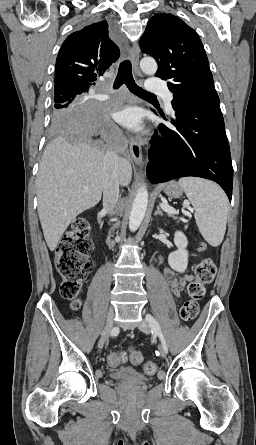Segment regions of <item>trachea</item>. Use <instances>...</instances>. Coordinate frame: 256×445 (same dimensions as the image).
Masks as SVG:
<instances>
[{"label": "trachea", "mask_w": 256, "mask_h": 445, "mask_svg": "<svg viewBox=\"0 0 256 445\" xmlns=\"http://www.w3.org/2000/svg\"><path fill=\"white\" fill-rule=\"evenodd\" d=\"M123 84L127 86L131 93L139 97H156L154 94L147 92L135 83L132 75L131 62L129 60H125L120 64L113 88L118 89Z\"/></svg>", "instance_id": "1"}]
</instances>
